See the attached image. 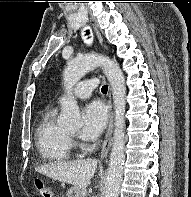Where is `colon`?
<instances>
[{"instance_id": "obj_1", "label": "colon", "mask_w": 191, "mask_h": 197, "mask_svg": "<svg viewBox=\"0 0 191 197\" xmlns=\"http://www.w3.org/2000/svg\"><path fill=\"white\" fill-rule=\"evenodd\" d=\"M36 188L39 197H52L51 189L44 182L38 181Z\"/></svg>"}]
</instances>
